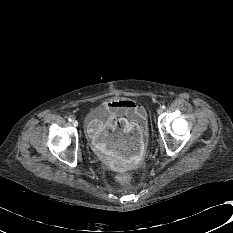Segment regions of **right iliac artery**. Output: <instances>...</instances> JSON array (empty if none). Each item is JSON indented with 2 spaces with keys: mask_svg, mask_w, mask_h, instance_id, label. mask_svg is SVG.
<instances>
[{
  "mask_svg": "<svg viewBox=\"0 0 233 233\" xmlns=\"http://www.w3.org/2000/svg\"><path fill=\"white\" fill-rule=\"evenodd\" d=\"M68 120L71 122V121H72V118H68Z\"/></svg>",
  "mask_w": 233,
  "mask_h": 233,
  "instance_id": "obj_1",
  "label": "right iliac artery"
}]
</instances>
